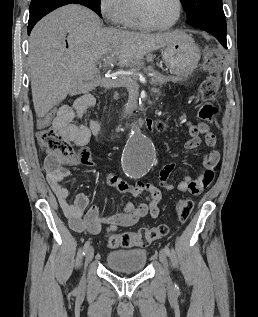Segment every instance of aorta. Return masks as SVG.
I'll list each match as a JSON object with an SVG mask.
<instances>
[{
    "instance_id": "1",
    "label": "aorta",
    "mask_w": 258,
    "mask_h": 317,
    "mask_svg": "<svg viewBox=\"0 0 258 317\" xmlns=\"http://www.w3.org/2000/svg\"><path fill=\"white\" fill-rule=\"evenodd\" d=\"M154 160L155 148L152 141L134 123L122 156L125 174L131 178H140L151 169Z\"/></svg>"
}]
</instances>
